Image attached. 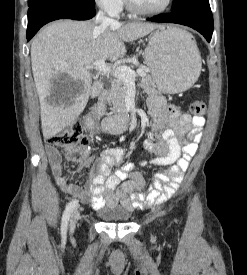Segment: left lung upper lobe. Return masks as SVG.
Returning a JSON list of instances; mask_svg holds the SVG:
<instances>
[{
    "label": "left lung upper lobe",
    "instance_id": "1",
    "mask_svg": "<svg viewBox=\"0 0 247 275\" xmlns=\"http://www.w3.org/2000/svg\"><path fill=\"white\" fill-rule=\"evenodd\" d=\"M209 4L208 0H173L171 12H178L197 5Z\"/></svg>",
    "mask_w": 247,
    "mask_h": 275
}]
</instances>
